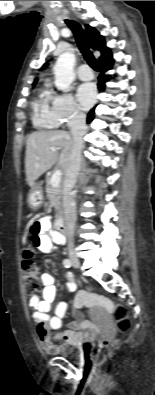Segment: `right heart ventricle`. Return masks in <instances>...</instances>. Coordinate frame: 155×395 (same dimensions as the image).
Instances as JSON below:
<instances>
[{"mask_svg": "<svg viewBox=\"0 0 155 395\" xmlns=\"http://www.w3.org/2000/svg\"><path fill=\"white\" fill-rule=\"evenodd\" d=\"M51 99L52 93L47 88H43L33 102L32 119L38 128L53 129L56 127L51 115Z\"/></svg>", "mask_w": 155, "mask_h": 395, "instance_id": "right-heart-ventricle-1", "label": "right heart ventricle"}]
</instances>
